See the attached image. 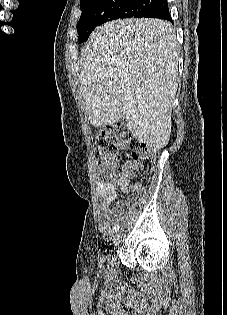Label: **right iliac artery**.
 Wrapping results in <instances>:
<instances>
[{
  "label": "right iliac artery",
  "instance_id": "obj_1",
  "mask_svg": "<svg viewBox=\"0 0 227 315\" xmlns=\"http://www.w3.org/2000/svg\"><path fill=\"white\" fill-rule=\"evenodd\" d=\"M119 231V224H115V226L113 227V232H116Z\"/></svg>",
  "mask_w": 227,
  "mask_h": 315
}]
</instances>
